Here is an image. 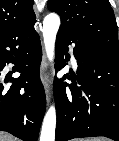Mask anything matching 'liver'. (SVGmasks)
<instances>
[{"label":"liver","instance_id":"liver-1","mask_svg":"<svg viewBox=\"0 0 119 141\" xmlns=\"http://www.w3.org/2000/svg\"><path fill=\"white\" fill-rule=\"evenodd\" d=\"M0 141H16L11 135L0 132Z\"/></svg>","mask_w":119,"mask_h":141}]
</instances>
